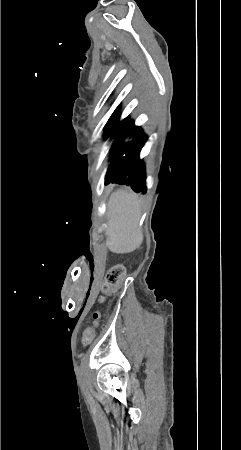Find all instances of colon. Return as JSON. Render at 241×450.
<instances>
[{
	"label": "colon",
	"mask_w": 241,
	"mask_h": 450,
	"mask_svg": "<svg viewBox=\"0 0 241 450\" xmlns=\"http://www.w3.org/2000/svg\"><path fill=\"white\" fill-rule=\"evenodd\" d=\"M125 275V266L123 264H117L113 266L110 270L106 272L103 279V295L101 301L107 298L110 294L115 292L121 279ZM106 302V301H105ZM93 319L95 321H100L102 319V314L100 312H95L93 314ZM94 338V330L92 327H88L83 335L82 345L85 348L90 347Z\"/></svg>",
	"instance_id": "1"
}]
</instances>
